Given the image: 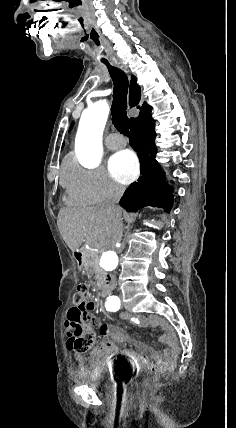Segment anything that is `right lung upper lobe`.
I'll return each mask as SVG.
<instances>
[{"mask_svg": "<svg viewBox=\"0 0 236 428\" xmlns=\"http://www.w3.org/2000/svg\"><path fill=\"white\" fill-rule=\"evenodd\" d=\"M141 100V90H140V86L137 85L136 83V77L132 76L131 77V81H130V91H129V103H130V107H134L137 106L140 103ZM140 108V113H139V117L138 118H130V127L138 120H140L141 118H143L144 116L148 115L151 113L152 107L149 106L148 104H146L145 102L143 103L142 107Z\"/></svg>", "mask_w": 236, "mask_h": 428, "instance_id": "cb5924a9", "label": "right lung upper lobe"}]
</instances>
